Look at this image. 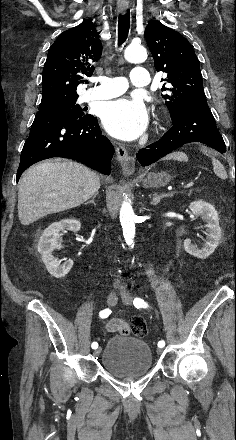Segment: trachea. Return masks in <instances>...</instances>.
<instances>
[{
    "instance_id": "1",
    "label": "trachea",
    "mask_w": 236,
    "mask_h": 440,
    "mask_svg": "<svg viewBox=\"0 0 236 440\" xmlns=\"http://www.w3.org/2000/svg\"><path fill=\"white\" fill-rule=\"evenodd\" d=\"M130 28V13L119 15L118 20V44H123L128 36Z\"/></svg>"
}]
</instances>
